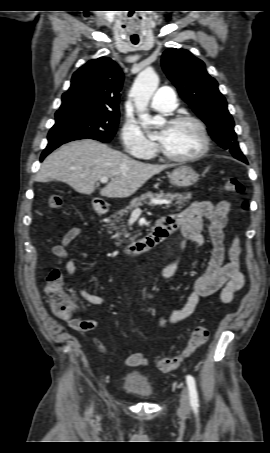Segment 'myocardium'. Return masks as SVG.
<instances>
[{
	"label": "myocardium",
	"instance_id": "1",
	"mask_svg": "<svg viewBox=\"0 0 270 453\" xmlns=\"http://www.w3.org/2000/svg\"><path fill=\"white\" fill-rule=\"evenodd\" d=\"M192 123L194 124L201 135L202 138V147L199 151L192 155H187V156H174L169 153H167L164 148L162 147L161 143L158 144V152L167 161L173 162V163H188V162H193L196 161L200 158H202L204 155L207 154V152L210 149V137L206 128V125L202 120L199 118L192 116V115H179L176 117L171 118L168 121V124H181V123Z\"/></svg>",
	"mask_w": 270,
	"mask_h": 453
}]
</instances>
